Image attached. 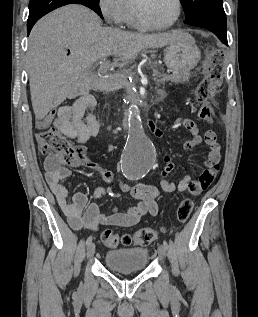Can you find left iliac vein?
Listing matches in <instances>:
<instances>
[{
    "label": "left iliac vein",
    "instance_id": "4c4485c4",
    "mask_svg": "<svg viewBox=\"0 0 258 317\" xmlns=\"http://www.w3.org/2000/svg\"><path fill=\"white\" fill-rule=\"evenodd\" d=\"M158 253L160 254V256H161V260L165 263L166 261H165V259H166V256H165V254L167 253V250L165 249V245L164 244H159L158 245ZM165 266L167 265L166 263L164 264Z\"/></svg>",
    "mask_w": 258,
    "mask_h": 317
}]
</instances>
